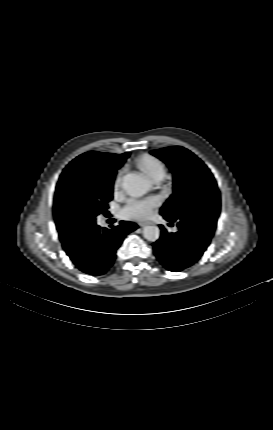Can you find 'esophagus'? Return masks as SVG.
<instances>
[{
    "instance_id": "obj_1",
    "label": "esophagus",
    "mask_w": 273,
    "mask_h": 430,
    "mask_svg": "<svg viewBox=\"0 0 273 430\" xmlns=\"http://www.w3.org/2000/svg\"><path fill=\"white\" fill-rule=\"evenodd\" d=\"M149 224H151V222H141V223H139V226L144 227V226L149 225Z\"/></svg>"
}]
</instances>
